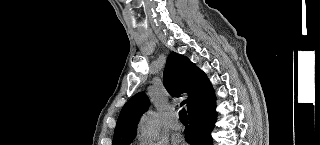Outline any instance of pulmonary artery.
I'll return each mask as SVG.
<instances>
[{"label": "pulmonary artery", "instance_id": "e3ab8cb5", "mask_svg": "<svg viewBox=\"0 0 320 145\" xmlns=\"http://www.w3.org/2000/svg\"><path fill=\"white\" fill-rule=\"evenodd\" d=\"M169 126L173 130H180L182 128V124L179 122L178 116L176 114L172 116Z\"/></svg>", "mask_w": 320, "mask_h": 145}]
</instances>
